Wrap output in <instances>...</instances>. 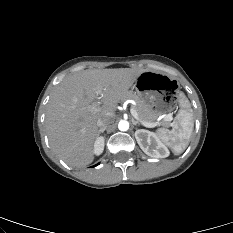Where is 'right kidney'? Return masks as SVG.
I'll list each match as a JSON object with an SVG mask.
<instances>
[{"label":"right kidney","mask_w":233,"mask_h":233,"mask_svg":"<svg viewBox=\"0 0 233 233\" xmlns=\"http://www.w3.org/2000/svg\"><path fill=\"white\" fill-rule=\"evenodd\" d=\"M104 150V138L103 137H98L93 146V151L94 154L100 155Z\"/></svg>","instance_id":"obj_1"}]
</instances>
